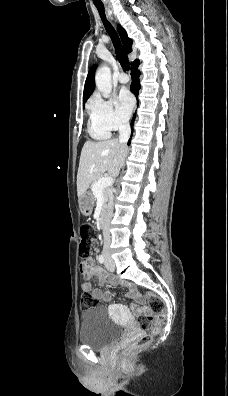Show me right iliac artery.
I'll return each instance as SVG.
<instances>
[{
	"instance_id": "obj_1",
	"label": "right iliac artery",
	"mask_w": 228,
	"mask_h": 396,
	"mask_svg": "<svg viewBox=\"0 0 228 396\" xmlns=\"http://www.w3.org/2000/svg\"><path fill=\"white\" fill-rule=\"evenodd\" d=\"M98 261L103 264L105 262L104 256L103 255H99L98 256Z\"/></svg>"
}]
</instances>
